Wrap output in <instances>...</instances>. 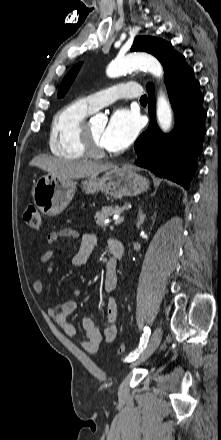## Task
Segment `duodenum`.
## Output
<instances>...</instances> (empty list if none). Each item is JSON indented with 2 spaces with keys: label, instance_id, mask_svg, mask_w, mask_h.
I'll return each mask as SVG.
<instances>
[{
  "label": "duodenum",
  "instance_id": "1",
  "mask_svg": "<svg viewBox=\"0 0 221 440\" xmlns=\"http://www.w3.org/2000/svg\"><path fill=\"white\" fill-rule=\"evenodd\" d=\"M109 248L113 261L106 264V269L110 271H115L117 261L122 259L124 255V246L120 240H112L110 242Z\"/></svg>",
  "mask_w": 221,
  "mask_h": 440
}]
</instances>
